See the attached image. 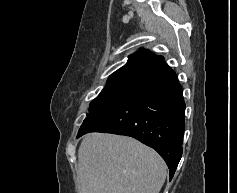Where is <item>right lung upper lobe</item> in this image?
Returning a JSON list of instances; mask_svg holds the SVG:
<instances>
[{
  "label": "right lung upper lobe",
  "instance_id": "obj_1",
  "mask_svg": "<svg viewBox=\"0 0 237 193\" xmlns=\"http://www.w3.org/2000/svg\"><path fill=\"white\" fill-rule=\"evenodd\" d=\"M160 56L154 55L145 49H140L135 54L128 56L127 63L115 71L111 76L120 75L130 71L146 70L147 67L155 62Z\"/></svg>",
  "mask_w": 237,
  "mask_h": 193
}]
</instances>
